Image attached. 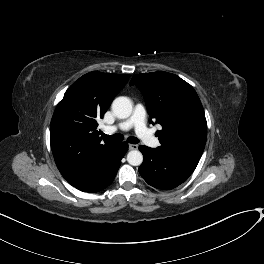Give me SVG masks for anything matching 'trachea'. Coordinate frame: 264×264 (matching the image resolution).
<instances>
[{"label": "trachea", "mask_w": 264, "mask_h": 264, "mask_svg": "<svg viewBox=\"0 0 264 264\" xmlns=\"http://www.w3.org/2000/svg\"><path fill=\"white\" fill-rule=\"evenodd\" d=\"M102 136H103V138L110 139L113 141H122L123 140V136L121 134L106 135V134L102 133ZM127 142H129L131 144H137L139 142V139L131 136V137L127 138Z\"/></svg>", "instance_id": "3493384b"}]
</instances>
